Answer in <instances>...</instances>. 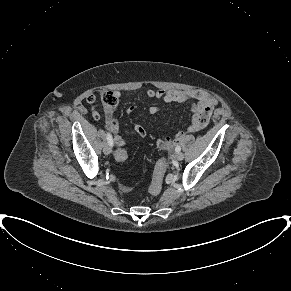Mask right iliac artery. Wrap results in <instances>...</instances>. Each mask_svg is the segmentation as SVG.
<instances>
[{"instance_id":"obj_1","label":"right iliac artery","mask_w":291,"mask_h":291,"mask_svg":"<svg viewBox=\"0 0 291 291\" xmlns=\"http://www.w3.org/2000/svg\"><path fill=\"white\" fill-rule=\"evenodd\" d=\"M106 138H107L108 144L112 147L113 146L112 135L110 133H107Z\"/></svg>"}]
</instances>
